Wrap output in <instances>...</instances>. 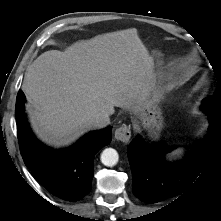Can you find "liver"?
I'll return each instance as SVG.
<instances>
[{"instance_id": "liver-1", "label": "liver", "mask_w": 221, "mask_h": 221, "mask_svg": "<svg viewBox=\"0 0 221 221\" xmlns=\"http://www.w3.org/2000/svg\"><path fill=\"white\" fill-rule=\"evenodd\" d=\"M152 70L153 57L135 28L44 52L22 85L33 130L43 141L64 146L91 130L89 121L99 112H141Z\"/></svg>"}]
</instances>
